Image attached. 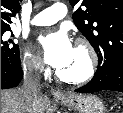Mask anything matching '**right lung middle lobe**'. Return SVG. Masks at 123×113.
I'll return each mask as SVG.
<instances>
[{
    "label": "right lung middle lobe",
    "mask_w": 123,
    "mask_h": 113,
    "mask_svg": "<svg viewBox=\"0 0 123 113\" xmlns=\"http://www.w3.org/2000/svg\"><path fill=\"white\" fill-rule=\"evenodd\" d=\"M10 28L1 29V64L18 65L20 64L19 47L11 39H8L7 31ZM13 37V33L11 34Z\"/></svg>",
    "instance_id": "right-lung-middle-lobe-1"
}]
</instances>
